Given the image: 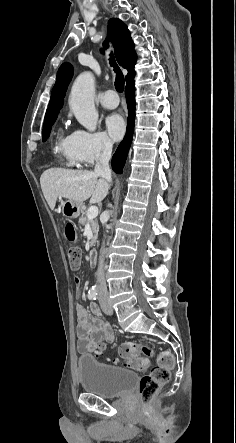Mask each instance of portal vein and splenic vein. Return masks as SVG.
I'll return each instance as SVG.
<instances>
[{"label": "portal vein and splenic vein", "mask_w": 236, "mask_h": 443, "mask_svg": "<svg viewBox=\"0 0 236 443\" xmlns=\"http://www.w3.org/2000/svg\"><path fill=\"white\" fill-rule=\"evenodd\" d=\"M98 215V208L96 206H91L88 209L87 218L88 220L94 219Z\"/></svg>", "instance_id": "portal-vein-and-splenic-vein-1"}]
</instances>
